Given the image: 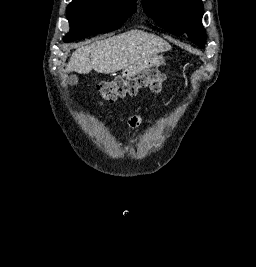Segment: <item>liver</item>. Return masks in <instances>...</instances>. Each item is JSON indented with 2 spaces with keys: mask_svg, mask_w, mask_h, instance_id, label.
<instances>
[{
  "mask_svg": "<svg viewBox=\"0 0 256 267\" xmlns=\"http://www.w3.org/2000/svg\"><path fill=\"white\" fill-rule=\"evenodd\" d=\"M167 50H171V46L159 36L142 30H131L126 34L77 48L66 70L78 74H88L91 70L98 74H114Z\"/></svg>",
  "mask_w": 256,
  "mask_h": 267,
  "instance_id": "obj_1",
  "label": "liver"
}]
</instances>
